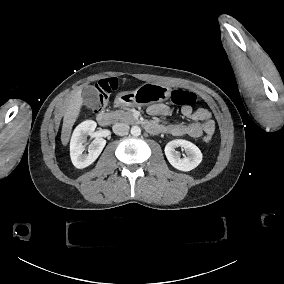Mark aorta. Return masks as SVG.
Here are the masks:
<instances>
[{
    "mask_svg": "<svg viewBox=\"0 0 284 284\" xmlns=\"http://www.w3.org/2000/svg\"><path fill=\"white\" fill-rule=\"evenodd\" d=\"M131 134H132L133 136H139V135L141 134V129H140V127H139V126H133V127L131 128Z\"/></svg>",
    "mask_w": 284,
    "mask_h": 284,
    "instance_id": "1",
    "label": "aorta"
}]
</instances>
